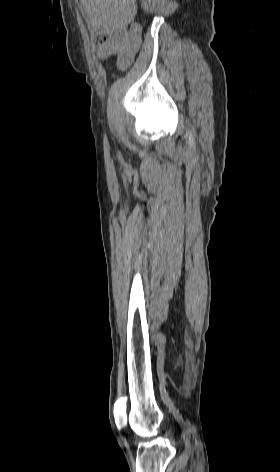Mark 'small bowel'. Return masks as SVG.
<instances>
[{"label": "small bowel", "mask_w": 280, "mask_h": 472, "mask_svg": "<svg viewBox=\"0 0 280 472\" xmlns=\"http://www.w3.org/2000/svg\"><path fill=\"white\" fill-rule=\"evenodd\" d=\"M141 45V27L133 24L130 31L118 32L113 35L110 41L96 48V53L101 59L117 56L130 58V64Z\"/></svg>", "instance_id": "1"}]
</instances>
